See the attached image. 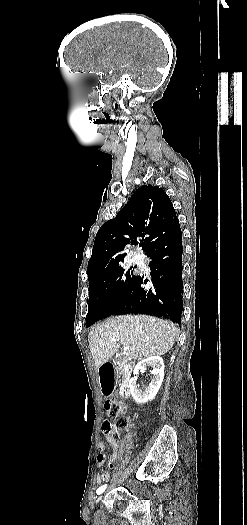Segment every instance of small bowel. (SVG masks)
Wrapping results in <instances>:
<instances>
[{"label":"small bowel","instance_id":"obj_1","mask_svg":"<svg viewBox=\"0 0 247 525\" xmlns=\"http://www.w3.org/2000/svg\"><path fill=\"white\" fill-rule=\"evenodd\" d=\"M106 405V403H105ZM103 438L112 446L113 448V454L111 455V457L109 458V465L112 467L117 459H118V443L116 442V440L114 439V437L109 434V433H103ZM105 460H106V455H105V444L103 442H101L99 444V453L96 457V462L99 466L103 465L105 463ZM110 477V470L107 469V470H104L100 473L97 474L96 476V482L97 483H102V482H105L109 479Z\"/></svg>","mask_w":247,"mask_h":525}]
</instances>
